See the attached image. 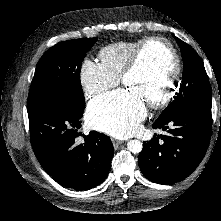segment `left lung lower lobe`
Here are the masks:
<instances>
[{
	"instance_id": "1",
	"label": "left lung lower lobe",
	"mask_w": 221,
	"mask_h": 221,
	"mask_svg": "<svg viewBox=\"0 0 221 221\" xmlns=\"http://www.w3.org/2000/svg\"><path fill=\"white\" fill-rule=\"evenodd\" d=\"M153 128L167 130L144 143L139 167L150 181L169 185L188 177L202 161L211 137V108L191 107L164 120Z\"/></svg>"
}]
</instances>
